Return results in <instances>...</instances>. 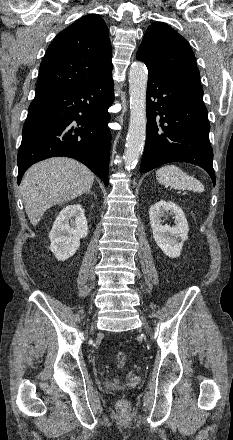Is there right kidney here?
<instances>
[{
	"instance_id": "obj_1",
	"label": "right kidney",
	"mask_w": 233,
	"mask_h": 440,
	"mask_svg": "<svg viewBox=\"0 0 233 440\" xmlns=\"http://www.w3.org/2000/svg\"><path fill=\"white\" fill-rule=\"evenodd\" d=\"M88 235L87 220L80 204L66 206L57 216L49 233L50 249L59 261L72 257L80 239Z\"/></svg>"
}]
</instances>
